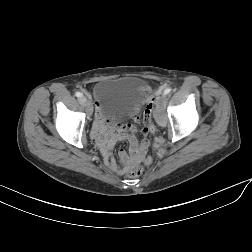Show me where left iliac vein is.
Instances as JSON below:
<instances>
[{
	"instance_id": "4c4485c4",
	"label": "left iliac vein",
	"mask_w": 252,
	"mask_h": 252,
	"mask_svg": "<svg viewBox=\"0 0 252 252\" xmlns=\"http://www.w3.org/2000/svg\"><path fill=\"white\" fill-rule=\"evenodd\" d=\"M166 96L162 95L158 98V107H159V111L157 113V118L161 121V119L163 118V113L162 110L165 108L166 105Z\"/></svg>"
}]
</instances>
